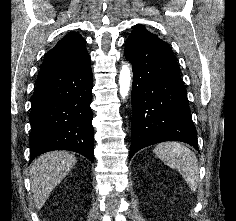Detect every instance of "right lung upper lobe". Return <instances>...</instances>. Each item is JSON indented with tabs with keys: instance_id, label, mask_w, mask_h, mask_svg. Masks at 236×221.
I'll return each instance as SVG.
<instances>
[{
	"instance_id": "obj_1",
	"label": "right lung upper lobe",
	"mask_w": 236,
	"mask_h": 221,
	"mask_svg": "<svg viewBox=\"0 0 236 221\" xmlns=\"http://www.w3.org/2000/svg\"><path fill=\"white\" fill-rule=\"evenodd\" d=\"M85 43L78 33H68L46 54L39 74L79 65L89 60Z\"/></svg>"
}]
</instances>
